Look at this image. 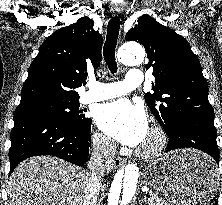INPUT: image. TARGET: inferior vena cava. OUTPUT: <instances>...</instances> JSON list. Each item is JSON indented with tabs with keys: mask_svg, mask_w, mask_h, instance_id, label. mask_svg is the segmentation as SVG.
Masks as SVG:
<instances>
[{
	"mask_svg": "<svg viewBox=\"0 0 222 205\" xmlns=\"http://www.w3.org/2000/svg\"><path fill=\"white\" fill-rule=\"evenodd\" d=\"M116 144L107 138L97 139L88 164L89 178L83 192L81 205H96L101 187V178L113 167Z\"/></svg>",
	"mask_w": 222,
	"mask_h": 205,
	"instance_id": "inferior-vena-cava-1",
	"label": "inferior vena cava"
}]
</instances>
